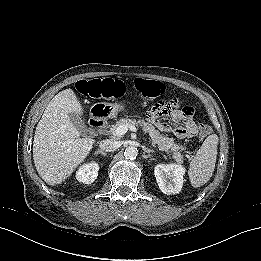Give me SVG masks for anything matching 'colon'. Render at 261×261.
Masks as SVG:
<instances>
[{
  "label": "colon",
  "instance_id": "colon-1",
  "mask_svg": "<svg viewBox=\"0 0 261 261\" xmlns=\"http://www.w3.org/2000/svg\"><path fill=\"white\" fill-rule=\"evenodd\" d=\"M134 85L139 93L147 98H156L162 92V85L157 81L138 78L135 80ZM75 86L81 93L96 98L116 96L121 87L120 83L112 79L79 80ZM150 112L158 117L167 115L170 116L171 119L174 118L175 127L173 130L177 136H187L191 133V127L187 125L183 127L175 124L181 119H191L192 112L189 108L177 110L173 103L160 100L152 106ZM198 128L201 129L204 134L208 132V128L203 124H200Z\"/></svg>",
  "mask_w": 261,
  "mask_h": 261
}]
</instances>
